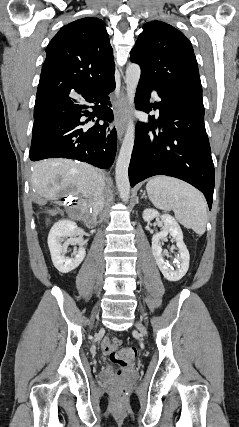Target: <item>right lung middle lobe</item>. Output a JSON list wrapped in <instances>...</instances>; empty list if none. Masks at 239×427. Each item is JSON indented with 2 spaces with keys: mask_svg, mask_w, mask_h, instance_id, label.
<instances>
[{
  "mask_svg": "<svg viewBox=\"0 0 239 427\" xmlns=\"http://www.w3.org/2000/svg\"><path fill=\"white\" fill-rule=\"evenodd\" d=\"M44 105H45V102L43 100H39L35 102L34 117L41 111Z\"/></svg>",
  "mask_w": 239,
  "mask_h": 427,
  "instance_id": "right-lung-middle-lobe-1",
  "label": "right lung middle lobe"
}]
</instances>
